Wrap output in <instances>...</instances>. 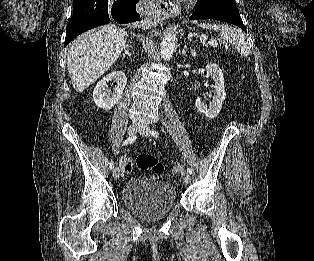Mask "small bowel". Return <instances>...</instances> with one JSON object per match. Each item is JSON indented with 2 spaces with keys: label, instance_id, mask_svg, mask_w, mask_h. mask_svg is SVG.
Returning <instances> with one entry per match:
<instances>
[{
  "label": "small bowel",
  "instance_id": "small-bowel-1",
  "mask_svg": "<svg viewBox=\"0 0 314 261\" xmlns=\"http://www.w3.org/2000/svg\"><path fill=\"white\" fill-rule=\"evenodd\" d=\"M132 169L131 160L129 158H124L122 161V170L124 174H128Z\"/></svg>",
  "mask_w": 314,
  "mask_h": 261
}]
</instances>
